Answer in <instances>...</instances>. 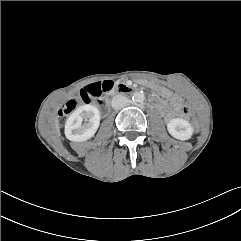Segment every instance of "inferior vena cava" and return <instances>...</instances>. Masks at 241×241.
<instances>
[{
	"mask_svg": "<svg viewBox=\"0 0 241 241\" xmlns=\"http://www.w3.org/2000/svg\"><path fill=\"white\" fill-rule=\"evenodd\" d=\"M128 103V99L123 96V95H116L112 98V108L115 110H119L122 109L123 107H125Z\"/></svg>",
	"mask_w": 241,
	"mask_h": 241,
	"instance_id": "602c4592",
	"label": "inferior vena cava"
}]
</instances>
